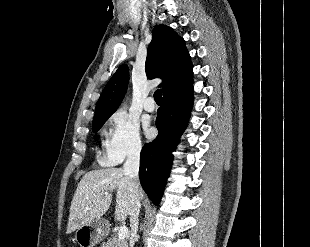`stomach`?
<instances>
[{"label": "stomach", "instance_id": "1", "mask_svg": "<svg viewBox=\"0 0 310 247\" xmlns=\"http://www.w3.org/2000/svg\"><path fill=\"white\" fill-rule=\"evenodd\" d=\"M108 227V222L101 218L81 224L76 230L75 240L80 247H94L108 232Z\"/></svg>", "mask_w": 310, "mask_h": 247}]
</instances>
